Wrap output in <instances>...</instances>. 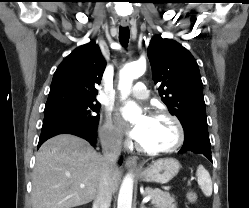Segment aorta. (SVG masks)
<instances>
[{"mask_svg": "<svg viewBox=\"0 0 249 208\" xmlns=\"http://www.w3.org/2000/svg\"><path fill=\"white\" fill-rule=\"evenodd\" d=\"M146 70L145 62L137 61L129 63L120 71L119 90L122 98L125 99L130 93L133 79H137L144 74ZM141 114L140 108L134 102H128L124 108L123 117L128 120H135ZM133 196V178L127 174L121 184L117 208H131Z\"/></svg>", "mask_w": 249, "mask_h": 208, "instance_id": "762f6f07", "label": "aorta"}]
</instances>
